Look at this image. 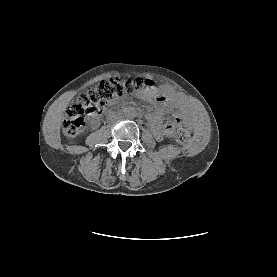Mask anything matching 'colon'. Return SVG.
Returning <instances> with one entry per match:
<instances>
[{"mask_svg": "<svg viewBox=\"0 0 277 277\" xmlns=\"http://www.w3.org/2000/svg\"><path fill=\"white\" fill-rule=\"evenodd\" d=\"M143 82H119L118 78L102 80L96 85L89 86L70 104L62 124L63 133L67 137H76L85 127V115L97 119L98 112L118 98L134 93L143 86ZM173 135L178 142H185L190 132L179 121L173 128Z\"/></svg>", "mask_w": 277, "mask_h": 277, "instance_id": "obj_1", "label": "colon"}]
</instances>
